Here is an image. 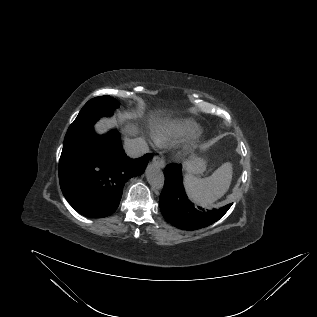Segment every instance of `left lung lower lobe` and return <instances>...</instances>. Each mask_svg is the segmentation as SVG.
<instances>
[{
	"mask_svg": "<svg viewBox=\"0 0 317 317\" xmlns=\"http://www.w3.org/2000/svg\"><path fill=\"white\" fill-rule=\"evenodd\" d=\"M181 167L171 164L165 168V184L159 200L161 213L167 222L183 230L207 227L223 217L232 203L212 211L197 207L185 194Z\"/></svg>",
	"mask_w": 317,
	"mask_h": 317,
	"instance_id": "1",
	"label": "left lung lower lobe"
}]
</instances>
